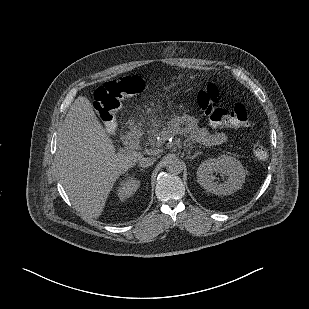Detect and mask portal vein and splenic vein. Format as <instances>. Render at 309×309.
Here are the masks:
<instances>
[{
    "instance_id": "1",
    "label": "portal vein and splenic vein",
    "mask_w": 309,
    "mask_h": 309,
    "mask_svg": "<svg viewBox=\"0 0 309 309\" xmlns=\"http://www.w3.org/2000/svg\"><path fill=\"white\" fill-rule=\"evenodd\" d=\"M160 141V140H159ZM163 141H165V139H163ZM161 143H163L162 141H160Z\"/></svg>"
}]
</instances>
